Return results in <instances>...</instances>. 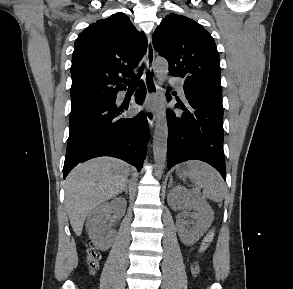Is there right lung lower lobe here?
<instances>
[{
    "label": "right lung lower lobe",
    "instance_id": "98d812e1",
    "mask_svg": "<svg viewBox=\"0 0 293 289\" xmlns=\"http://www.w3.org/2000/svg\"><path fill=\"white\" fill-rule=\"evenodd\" d=\"M145 95L146 88L141 81L135 101L141 104ZM115 101L116 96L96 108L69 118L64 178L80 162L100 156L120 158L138 170L142 168L150 137L146 116L140 112L132 118L122 117L124 108H117Z\"/></svg>",
    "mask_w": 293,
    "mask_h": 289
}]
</instances>
